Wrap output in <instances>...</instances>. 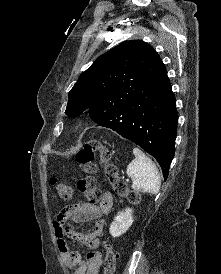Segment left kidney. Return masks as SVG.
<instances>
[{"label": "left kidney", "instance_id": "5707ae66", "mask_svg": "<svg viewBox=\"0 0 221 274\" xmlns=\"http://www.w3.org/2000/svg\"><path fill=\"white\" fill-rule=\"evenodd\" d=\"M133 210L130 208L119 212L110 225L109 232L113 237L124 234L133 223Z\"/></svg>", "mask_w": 221, "mask_h": 274}]
</instances>
